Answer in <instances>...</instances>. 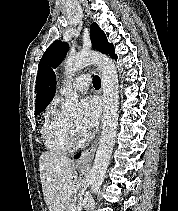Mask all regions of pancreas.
Instances as JSON below:
<instances>
[{
    "instance_id": "obj_1",
    "label": "pancreas",
    "mask_w": 178,
    "mask_h": 211,
    "mask_svg": "<svg viewBox=\"0 0 178 211\" xmlns=\"http://www.w3.org/2000/svg\"><path fill=\"white\" fill-rule=\"evenodd\" d=\"M76 199H77V197H76V196H72V198L70 199V202H69V207H68V210H67V211H71L70 207H71V205L73 204V202H75V201H76Z\"/></svg>"
}]
</instances>
